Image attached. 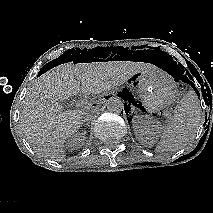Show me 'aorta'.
<instances>
[{
    "label": "aorta",
    "mask_w": 213,
    "mask_h": 213,
    "mask_svg": "<svg viewBox=\"0 0 213 213\" xmlns=\"http://www.w3.org/2000/svg\"><path fill=\"white\" fill-rule=\"evenodd\" d=\"M106 107L109 112L119 114L124 108L123 100L120 97L112 96L106 101Z\"/></svg>",
    "instance_id": "aorta-1"
}]
</instances>
